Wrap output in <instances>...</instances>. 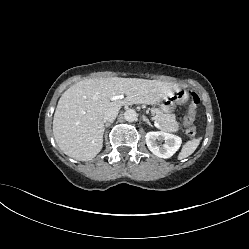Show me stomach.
Returning a JSON list of instances; mask_svg holds the SVG:
<instances>
[{"instance_id":"1","label":"stomach","mask_w":249,"mask_h":249,"mask_svg":"<svg viewBox=\"0 0 249 249\" xmlns=\"http://www.w3.org/2000/svg\"><path fill=\"white\" fill-rule=\"evenodd\" d=\"M180 97L173 94L169 97H167L166 99H164V101L160 104V110L165 113V114H170L172 113L175 108L177 103L179 102Z\"/></svg>"}]
</instances>
